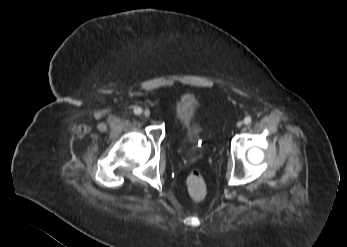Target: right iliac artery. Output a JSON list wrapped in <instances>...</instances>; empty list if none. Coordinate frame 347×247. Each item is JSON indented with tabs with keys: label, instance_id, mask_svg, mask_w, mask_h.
I'll use <instances>...</instances> for the list:
<instances>
[{
	"label": "right iliac artery",
	"instance_id": "obj_1",
	"mask_svg": "<svg viewBox=\"0 0 347 247\" xmlns=\"http://www.w3.org/2000/svg\"><path fill=\"white\" fill-rule=\"evenodd\" d=\"M134 113H135L136 115H139V114L142 113V109H141L140 107H136V108H134Z\"/></svg>",
	"mask_w": 347,
	"mask_h": 247
}]
</instances>
